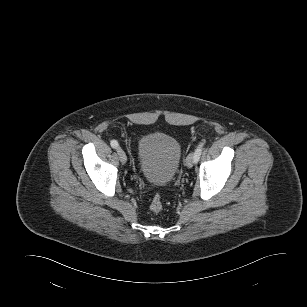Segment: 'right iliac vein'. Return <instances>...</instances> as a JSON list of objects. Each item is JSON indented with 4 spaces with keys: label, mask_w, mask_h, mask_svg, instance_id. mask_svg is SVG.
<instances>
[{
    "label": "right iliac vein",
    "mask_w": 307,
    "mask_h": 307,
    "mask_svg": "<svg viewBox=\"0 0 307 307\" xmlns=\"http://www.w3.org/2000/svg\"><path fill=\"white\" fill-rule=\"evenodd\" d=\"M117 153H118L119 160L121 161V163L125 164L126 161H127V156H126L125 152L123 151V149L118 148Z\"/></svg>",
    "instance_id": "63e3f726"
}]
</instances>
